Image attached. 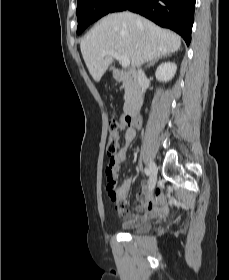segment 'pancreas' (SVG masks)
Returning <instances> with one entry per match:
<instances>
[{
    "instance_id": "1",
    "label": "pancreas",
    "mask_w": 229,
    "mask_h": 280,
    "mask_svg": "<svg viewBox=\"0 0 229 280\" xmlns=\"http://www.w3.org/2000/svg\"><path fill=\"white\" fill-rule=\"evenodd\" d=\"M125 88V99H128L131 96V87L128 84H124Z\"/></svg>"
}]
</instances>
